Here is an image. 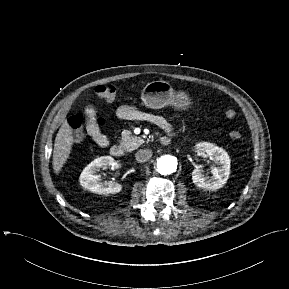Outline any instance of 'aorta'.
Instances as JSON below:
<instances>
[{
  "label": "aorta",
  "mask_w": 289,
  "mask_h": 289,
  "mask_svg": "<svg viewBox=\"0 0 289 289\" xmlns=\"http://www.w3.org/2000/svg\"><path fill=\"white\" fill-rule=\"evenodd\" d=\"M178 159L172 155H163L157 160V171L162 175H169L176 172Z\"/></svg>",
  "instance_id": "obj_1"
}]
</instances>
